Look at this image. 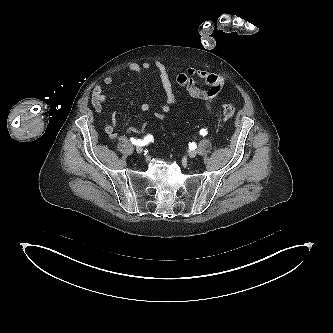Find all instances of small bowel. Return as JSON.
Segmentation results:
<instances>
[{"mask_svg":"<svg viewBox=\"0 0 333 333\" xmlns=\"http://www.w3.org/2000/svg\"><path fill=\"white\" fill-rule=\"evenodd\" d=\"M151 68H155L157 70L165 92V101L161 105L160 111L154 113V116L157 119H162L164 118L165 114L170 112L172 106L178 103V97L173 89V84L167 68L160 61H155L153 63L148 61L142 63L133 62L128 65L129 71L138 75H143L144 72L150 70ZM198 79L205 83L207 86L206 89H202L197 86L196 81ZM113 81V76L108 75L104 78L103 83L109 86L113 83ZM176 82L178 85L184 88L190 94V96L202 100L205 103L208 111L212 110V103L223 87V78L220 75L207 70L196 68H188L179 72L176 76ZM91 101L95 111L100 113L102 111L103 104L106 101V95L103 91L102 85H96L94 87ZM141 110L143 112H147L149 110V106L147 104H142ZM147 128L148 124L143 122L138 126L129 127L127 131L132 133H141L145 132ZM104 131L109 139L114 140L118 137L115 121H109L106 123L104 126Z\"/></svg>","mask_w":333,"mask_h":333,"instance_id":"1","label":"small bowel"}]
</instances>
